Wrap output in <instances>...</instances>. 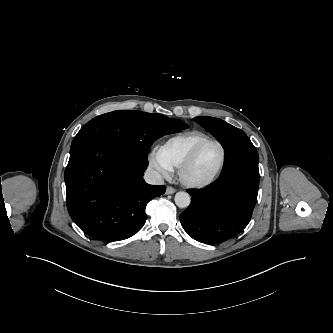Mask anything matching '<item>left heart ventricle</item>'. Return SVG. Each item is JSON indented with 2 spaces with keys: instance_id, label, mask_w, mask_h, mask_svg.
Here are the masks:
<instances>
[{
  "instance_id": "1",
  "label": "left heart ventricle",
  "mask_w": 333,
  "mask_h": 333,
  "mask_svg": "<svg viewBox=\"0 0 333 333\" xmlns=\"http://www.w3.org/2000/svg\"><path fill=\"white\" fill-rule=\"evenodd\" d=\"M220 157L221 151L216 144L210 143L205 145L188 170V176L194 180H201L208 177L218 165Z\"/></svg>"
}]
</instances>
